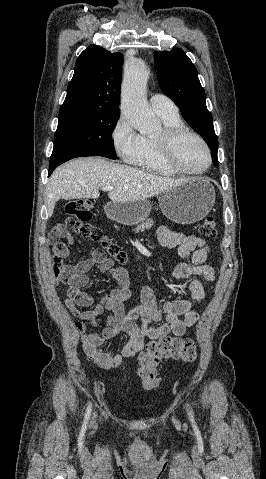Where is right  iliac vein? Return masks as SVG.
Masks as SVG:
<instances>
[{"label": "right iliac vein", "instance_id": "right-iliac-vein-1", "mask_svg": "<svg viewBox=\"0 0 266 479\" xmlns=\"http://www.w3.org/2000/svg\"><path fill=\"white\" fill-rule=\"evenodd\" d=\"M92 424H93V425L95 424V418L93 419Z\"/></svg>", "mask_w": 266, "mask_h": 479}]
</instances>
